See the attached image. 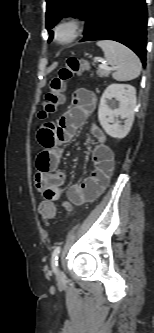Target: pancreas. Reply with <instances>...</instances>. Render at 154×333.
Segmentation results:
<instances>
[{
	"label": "pancreas",
	"instance_id": "pancreas-1",
	"mask_svg": "<svg viewBox=\"0 0 154 333\" xmlns=\"http://www.w3.org/2000/svg\"><path fill=\"white\" fill-rule=\"evenodd\" d=\"M110 71L103 69V68H98L97 70V75L99 77H109Z\"/></svg>",
	"mask_w": 154,
	"mask_h": 333
}]
</instances>
